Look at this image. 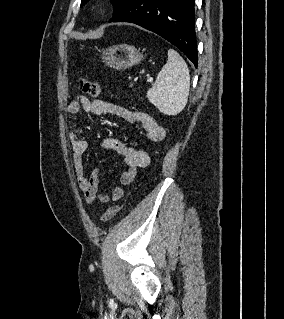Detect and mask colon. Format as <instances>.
Listing matches in <instances>:
<instances>
[{"instance_id": "colon-1", "label": "colon", "mask_w": 284, "mask_h": 319, "mask_svg": "<svg viewBox=\"0 0 284 319\" xmlns=\"http://www.w3.org/2000/svg\"><path fill=\"white\" fill-rule=\"evenodd\" d=\"M80 89L82 90V92L84 94H86L87 96H90L92 98H97L102 93V89H101L100 85L97 82L92 81V80L87 79V78H82L80 80ZM120 208H121L120 205L111 206L101 216L100 221L107 222L108 220H110L113 216H115L119 212Z\"/></svg>"}]
</instances>
